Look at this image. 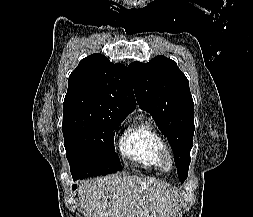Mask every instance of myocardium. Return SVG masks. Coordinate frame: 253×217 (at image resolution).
<instances>
[{
	"instance_id": "1",
	"label": "myocardium",
	"mask_w": 253,
	"mask_h": 217,
	"mask_svg": "<svg viewBox=\"0 0 253 217\" xmlns=\"http://www.w3.org/2000/svg\"><path fill=\"white\" fill-rule=\"evenodd\" d=\"M161 167L165 171H171L175 167L174 155L170 147L163 144L159 152Z\"/></svg>"
}]
</instances>
